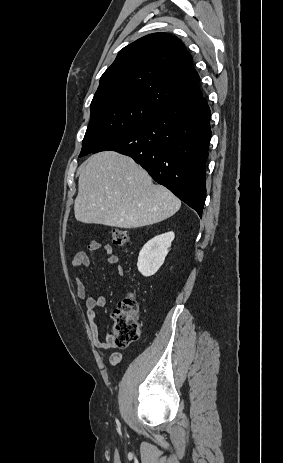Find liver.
I'll return each instance as SVG.
<instances>
[{
    "mask_svg": "<svg viewBox=\"0 0 283 463\" xmlns=\"http://www.w3.org/2000/svg\"><path fill=\"white\" fill-rule=\"evenodd\" d=\"M79 174L74 213L82 223L138 228L171 217L181 206L133 159L113 151L92 155Z\"/></svg>",
    "mask_w": 283,
    "mask_h": 463,
    "instance_id": "liver-1",
    "label": "liver"
}]
</instances>
